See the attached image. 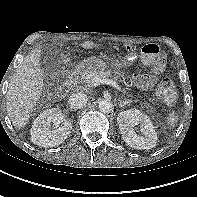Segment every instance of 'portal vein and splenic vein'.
<instances>
[{
  "label": "portal vein and splenic vein",
  "mask_w": 197,
  "mask_h": 197,
  "mask_svg": "<svg viewBox=\"0 0 197 197\" xmlns=\"http://www.w3.org/2000/svg\"><path fill=\"white\" fill-rule=\"evenodd\" d=\"M100 84H107V85H111L114 88H116L118 91H121V87L118 85V83L116 81H113L112 79H108V78H99V77H95L92 80V86L96 87Z\"/></svg>",
  "instance_id": "obj_1"
}]
</instances>
